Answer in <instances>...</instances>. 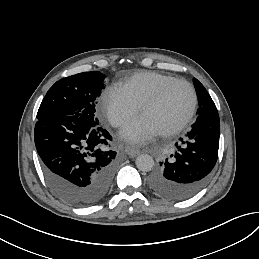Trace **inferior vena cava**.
<instances>
[{"instance_id": "1", "label": "inferior vena cava", "mask_w": 259, "mask_h": 259, "mask_svg": "<svg viewBox=\"0 0 259 259\" xmlns=\"http://www.w3.org/2000/svg\"><path fill=\"white\" fill-rule=\"evenodd\" d=\"M118 123H119V121H118ZM118 123H117V124H115V125H116V126H119V124H118Z\"/></svg>"}]
</instances>
